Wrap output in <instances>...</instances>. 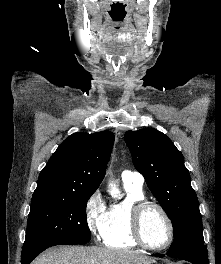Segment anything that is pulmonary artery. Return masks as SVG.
I'll list each match as a JSON object with an SVG mask.
<instances>
[{
	"label": "pulmonary artery",
	"mask_w": 221,
	"mask_h": 264,
	"mask_svg": "<svg viewBox=\"0 0 221 264\" xmlns=\"http://www.w3.org/2000/svg\"><path fill=\"white\" fill-rule=\"evenodd\" d=\"M123 183L133 184L142 187L144 183V177L137 171L125 170L121 174Z\"/></svg>",
	"instance_id": "pulmonary-artery-1"
}]
</instances>
